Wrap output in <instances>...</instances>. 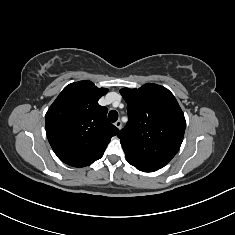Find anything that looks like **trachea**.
Here are the masks:
<instances>
[{"label": "trachea", "instance_id": "1", "mask_svg": "<svg viewBox=\"0 0 235 235\" xmlns=\"http://www.w3.org/2000/svg\"><path fill=\"white\" fill-rule=\"evenodd\" d=\"M108 118L111 122H116L118 119V113L115 110H112L108 114Z\"/></svg>", "mask_w": 235, "mask_h": 235}]
</instances>
